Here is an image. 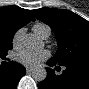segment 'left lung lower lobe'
I'll list each match as a JSON object with an SVG mask.
<instances>
[{"label": "left lung lower lobe", "mask_w": 89, "mask_h": 89, "mask_svg": "<svg viewBox=\"0 0 89 89\" xmlns=\"http://www.w3.org/2000/svg\"><path fill=\"white\" fill-rule=\"evenodd\" d=\"M47 64L59 65L51 59ZM46 71L47 77L38 83L39 89H89V64L66 65L61 75H56L50 68H46Z\"/></svg>", "instance_id": "1"}]
</instances>
